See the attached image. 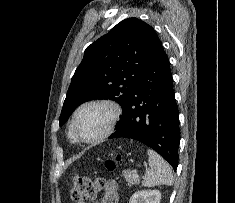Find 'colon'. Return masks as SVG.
<instances>
[{"label": "colon", "mask_w": 235, "mask_h": 203, "mask_svg": "<svg viewBox=\"0 0 235 203\" xmlns=\"http://www.w3.org/2000/svg\"><path fill=\"white\" fill-rule=\"evenodd\" d=\"M119 157L109 159L106 162L108 170H113ZM103 182L100 179H93L86 176H77L72 180L71 198L77 203H84L86 200L95 198L102 190Z\"/></svg>", "instance_id": "5ec220e1"}]
</instances>
